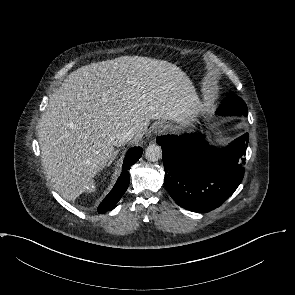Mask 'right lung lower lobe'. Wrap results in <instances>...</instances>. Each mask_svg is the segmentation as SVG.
<instances>
[{
    "mask_svg": "<svg viewBox=\"0 0 295 295\" xmlns=\"http://www.w3.org/2000/svg\"><path fill=\"white\" fill-rule=\"evenodd\" d=\"M142 152L143 149L141 147H134L128 150L123 162L122 173L111 192L99 205L98 213L103 214L115 208L116 203L121 199L129 186L130 178L128 170L132 164L139 160Z\"/></svg>",
    "mask_w": 295,
    "mask_h": 295,
    "instance_id": "right-lung-lower-lobe-1",
    "label": "right lung lower lobe"
}]
</instances>
